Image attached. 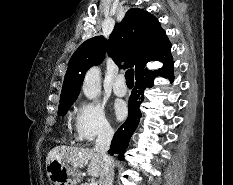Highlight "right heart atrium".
<instances>
[{
    "instance_id": "d8ad5b80",
    "label": "right heart atrium",
    "mask_w": 233,
    "mask_h": 185,
    "mask_svg": "<svg viewBox=\"0 0 233 185\" xmlns=\"http://www.w3.org/2000/svg\"><path fill=\"white\" fill-rule=\"evenodd\" d=\"M73 130L75 139L85 144L112 133L103 107L97 102L87 100L81 101L76 108Z\"/></svg>"
}]
</instances>
